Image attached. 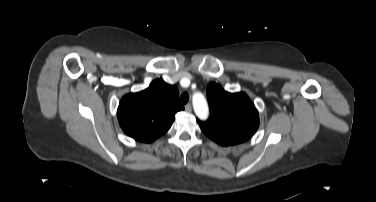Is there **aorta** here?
<instances>
[{
  "label": "aorta",
  "instance_id": "762f6f07",
  "mask_svg": "<svg viewBox=\"0 0 376 202\" xmlns=\"http://www.w3.org/2000/svg\"><path fill=\"white\" fill-rule=\"evenodd\" d=\"M193 106L197 117L201 120H205L208 117L209 111L204 96L200 93H196L193 96Z\"/></svg>",
  "mask_w": 376,
  "mask_h": 202
}]
</instances>
